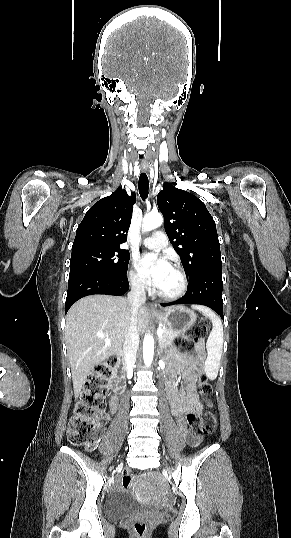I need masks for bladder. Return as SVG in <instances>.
<instances>
[{
	"label": "bladder",
	"mask_w": 291,
	"mask_h": 538,
	"mask_svg": "<svg viewBox=\"0 0 291 538\" xmlns=\"http://www.w3.org/2000/svg\"><path fill=\"white\" fill-rule=\"evenodd\" d=\"M146 509V507L137 504L124 494L112 495L105 503V513L109 520H118L131 513Z\"/></svg>",
	"instance_id": "bladder-1"
}]
</instances>
